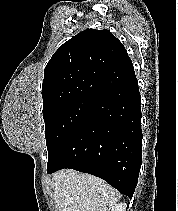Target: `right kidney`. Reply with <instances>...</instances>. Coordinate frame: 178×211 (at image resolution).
<instances>
[{
    "instance_id": "obj_1",
    "label": "right kidney",
    "mask_w": 178,
    "mask_h": 211,
    "mask_svg": "<svg viewBox=\"0 0 178 211\" xmlns=\"http://www.w3.org/2000/svg\"><path fill=\"white\" fill-rule=\"evenodd\" d=\"M126 203H120L112 206L109 211H126Z\"/></svg>"
}]
</instances>
